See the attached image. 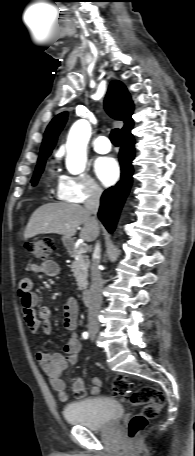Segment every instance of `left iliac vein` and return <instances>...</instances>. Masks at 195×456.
I'll use <instances>...</instances> for the list:
<instances>
[{"instance_id":"left-iliac-vein-1","label":"left iliac vein","mask_w":195,"mask_h":456,"mask_svg":"<svg viewBox=\"0 0 195 456\" xmlns=\"http://www.w3.org/2000/svg\"><path fill=\"white\" fill-rule=\"evenodd\" d=\"M95 338V335H91V340L93 341Z\"/></svg>"}]
</instances>
